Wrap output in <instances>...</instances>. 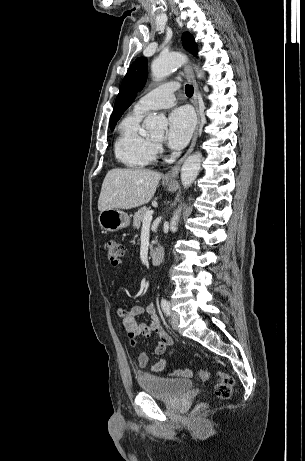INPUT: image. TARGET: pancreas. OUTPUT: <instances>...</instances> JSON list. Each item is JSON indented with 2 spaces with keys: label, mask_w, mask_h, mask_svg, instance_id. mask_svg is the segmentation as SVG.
<instances>
[{
  "label": "pancreas",
  "mask_w": 305,
  "mask_h": 461,
  "mask_svg": "<svg viewBox=\"0 0 305 461\" xmlns=\"http://www.w3.org/2000/svg\"><path fill=\"white\" fill-rule=\"evenodd\" d=\"M150 211V207H142L133 216V227L139 229L145 214Z\"/></svg>",
  "instance_id": "obj_1"
}]
</instances>
